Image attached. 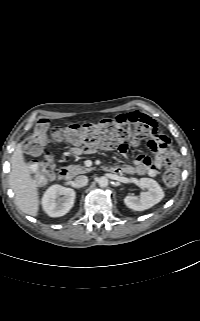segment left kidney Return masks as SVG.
<instances>
[{"label":"left kidney","mask_w":200,"mask_h":321,"mask_svg":"<svg viewBox=\"0 0 200 321\" xmlns=\"http://www.w3.org/2000/svg\"><path fill=\"white\" fill-rule=\"evenodd\" d=\"M137 185L140 188H146L148 191L143 192L140 198L137 196H126L124 198L125 205L132 210L143 211L149 209L164 198L162 188L151 178H140Z\"/></svg>","instance_id":"obj_1"}]
</instances>
